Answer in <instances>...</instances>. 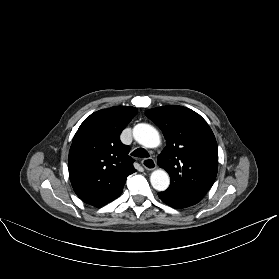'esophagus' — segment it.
Here are the masks:
<instances>
[{
    "mask_svg": "<svg viewBox=\"0 0 279 279\" xmlns=\"http://www.w3.org/2000/svg\"><path fill=\"white\" fill-rule=\"evenodd\" d=\"M142 165L146 170H154L156 168V162L152 158L143 159Z\"/></svg>",
    "mask_w": 279,
    "mask_h": 279,
    "instance_id": "esophagus-1",
    "label": "esophagus"
}]
</instances>
